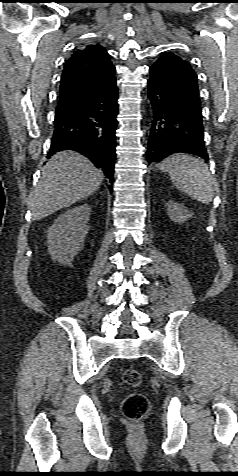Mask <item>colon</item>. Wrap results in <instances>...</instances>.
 <instances>
[{"instance_id": "colon-1", "label": "colon", "mask_w": 238, "mask_h": 476, "mask_svg": "<svg viewBox=\"0 0 238 476\" xmlns=\"http://www.w3.org/2000/svg\"><path fill=\"white\" fill-rule=\"evenodd\" d=\"M123 382L132 388L141 385V373L133 368L127 369L123 373ZM148 398L138 392L129 394L123 401L122 413L130 421L137 422L141 420L149 410Z\"/></svg>"}]
</instances>
